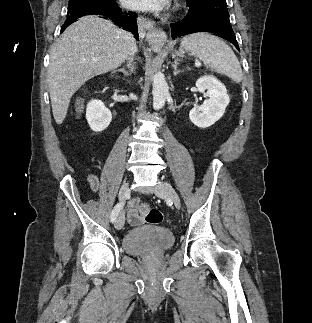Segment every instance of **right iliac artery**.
<instances>
[{
	"mask_svg": "<svg viewBox=\"0 0 312 323\" xmlns=\"http://www.w3.org/2000/svg\"><path fill=\"white\" fill-rule=\"evenodd\" d=\"M124 206V203H118L114 206L113 210H112V213H111V222L114 223L117 219V216L120 212V210L123 208Z\"/></svg>",
	"mask_w": 312,
	"mask_h": 323,
	"instance_id": "1",
	"label": "right iliac artery"
}]
</instances>
